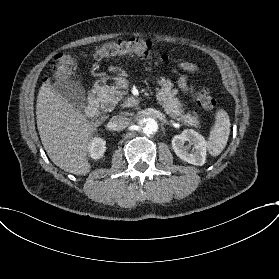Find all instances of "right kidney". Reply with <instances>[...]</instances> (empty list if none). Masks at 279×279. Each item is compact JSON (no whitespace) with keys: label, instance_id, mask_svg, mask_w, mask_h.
Wrapping results in <instances>:
<instances>
[{"label":"right kidney","instance_id":"right-kidney-1","mask_svg":"<svg viewBox=\"0 0 279 279\" xmlns=\"http://www.w3.org/2000/svg\"><path fill=\"white\" fill-rule=\"evenodd\" d=\"M105 150L106 143L100 138L93 139L88 146L89 154L93 159L102 157Z\"/></svg>","mask_w":279,"mask_h":279}]
</instances>
